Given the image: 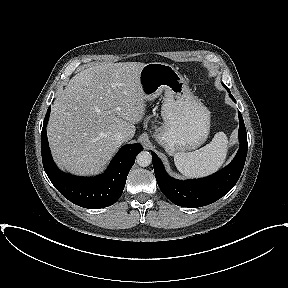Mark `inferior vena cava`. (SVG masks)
<instances>
[{
	"mask_svg": "<svg viewBox=\"0 0 288 288\" xmlns=\"http://www.w3.org/2000/svg\"><path fill=\"white\" fill-rule=\"evenodd\" d=\"M115 138L116 140L120 141V142H124L125 141V135L122 132H118L115 134Z\"/></svg>",
	"mask_w": 288,
	"mask_h": 288,
	"instance_id": "602c4592",
	"label": "inferior vena cava"
}]
</instances>
